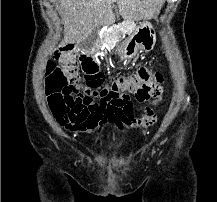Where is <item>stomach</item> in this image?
Here are the masks:
<instances>
[{
  "mask_svg": "<svg viewBox=\"0 0 217 202\" xmlns=\"http://www.w3.org/2000/svg\"><path fill=\"white\" fill-rule=\"evenodd\" d=\"M156 44V32L151 22H141L133 34L125 38L120 46L121 60H132L139 52H151Z\"/></svg>",
  "mask_w": 217,
  "mask_h": 202,
  "instance_id": "stomach-1",
  "label": "stomach"
}]
</instances>
